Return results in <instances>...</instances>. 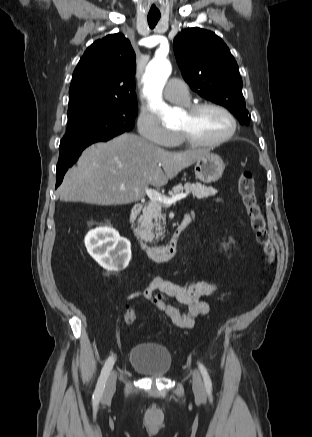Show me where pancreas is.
<instances>
[{"instance_id": "1", "label": "pancreas", "mask_w": 312, "mask_h": 437, "mask_svg": "<svg viewBox=\"0 0 312 437\" xmlns=\"http://www.w3.org/2000/svg\"><path fill=\"white\" fill-rule=\"evenodd\" d=\"M183 190L192 193L198 199H204L217 193V190L212 187L202 186L199 183L191 186L186 183L185 186L178 184L173 187L169 195H177ZM165 207L167 205L163 203L151 201L145 208L140 225V232L145 240L152 242L155 239L158 241L165 234L166 216L162 213V209Z\"/></svg>"}]
</instances>
